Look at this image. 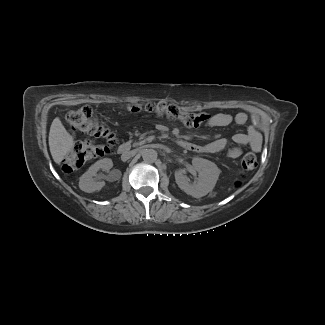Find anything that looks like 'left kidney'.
<instances>
[{
  "label": "left kidney",
  "instance_id": "left-kidney-1",
  "mask_svg": "<svg viewBox=\"0 0 325 325\" xmlns=\"http://www.w3.org/2000/svg\"><path fill=\"white\" fill-rule=\"evenodd\" d=\"M192 166L198 172L196 183H189L184 169L175 172V180L178 187L186 194L200 198L213 190L221 171L215 163L199 157L192 159Z\"/></svg>",
  "mask_w": 325,
  "mask_h": 325
}]
</instances>
